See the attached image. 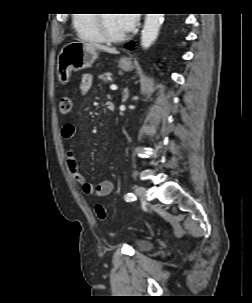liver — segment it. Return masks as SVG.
Listing matches in <instances>:
<instances>
[{
    "mask_svg": "<svg viewBox=\"0 0 252 303\" xmlns=\"http://www.w3.org/2000/svg\"><path fill=\"white\" fill-rule=\"evenodd\" d=\"M90 46L95 47L96 49H100L102 51H105L107 53H111V54H117V50L115 48H110L98 43H89Z\"/></svg>",
    "mask_w": 252,
    "mask_h": 303,
    "instance_id": "obj_1",
    "label": "liver"
}]
</instances>
